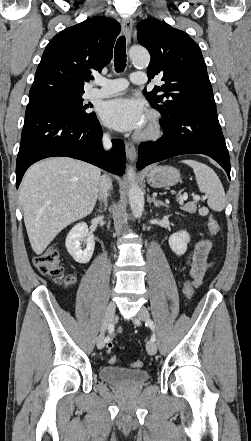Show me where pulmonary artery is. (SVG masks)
<instances>
[{
    "label": "pulmonary artery",
    "instance_id": "pulmonary-artery-1",
    "mask_svg": "<svg viewBox=\"0 0 251 441\" xmlns=\"http://www.w3.org/2000/svg\"><path fill=\"white\" fill-rule=\"evenodd\" d=\"M130 80L134 84L141 85L146 83L147 78L144 72L137 71L131 74ZM94 83L97 87L88 92V96L91 98L109 97L125 90L128 86V81L123 78L106 79L99 77L95 79Z\"/></svg>",
    "mask_w": 251,
    "mask_h": 441
}]
</instances>
